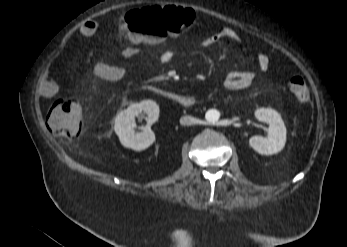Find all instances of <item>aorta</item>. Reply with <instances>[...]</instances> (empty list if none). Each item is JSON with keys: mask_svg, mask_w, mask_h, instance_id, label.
I'll list each match as a JSON object with an SVG mask.
<instances>
[{"mask_svg": "<svg viewBox=\"0 0 347 247\" xmlns=\"http://www.w3.org/2000/svg\"><path fill=\"white\" fill-rule=\"evenodd\" d=\"M219 112L215 109H210L206 112L205 118L208 123L214 124L219 120Z\"/></svg>", "mask_w": 347, "mask_h": 247, "instance_id": "762f6f07", "label": "aorta"}]
</instances>
